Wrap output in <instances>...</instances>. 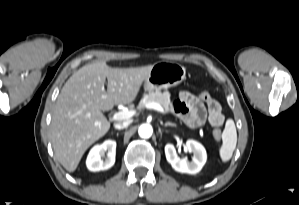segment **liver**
<instances>
[{"instance_id": "liver-1", "label": "liver", "mask_w": 299, "mask_h": 205, "mask_svg": "<svg viewBox=\"0 0 299 205\" xmlns=\"http://www.w3.org/2000/svg\"><path fill=\"white\" fill-rule=\"evenodd\" d=\"M152 67L112 68L95 62L81 67L67 80L50 128L55 156L67 171L74 172L85 151L110 129L101 111L133 102Z\"/></svg>"}]
</instances>
